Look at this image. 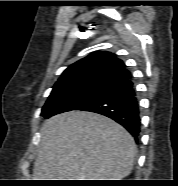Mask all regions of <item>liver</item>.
<instances>
[{
	"label": "liver",
	"instance_id": "liver-1",
	"mask_svg": "<svg viewBox=\"0 0 178 186\" xmlns=\"http://www.w3.org/2000/svg\"><path fill=\"white\" fill-rule=\"evenodd\" d=\"M34 180H121L133 168L137 146L115 121L71 111L44 121Z\"/></svg>",
	"mask_w": 178,
	"mask_h": 186
}]
</instances>
